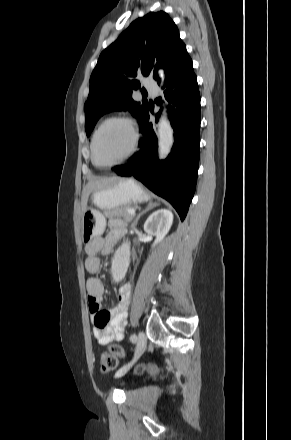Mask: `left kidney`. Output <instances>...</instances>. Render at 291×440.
<instances>
[{
  "mask_svg": "<svg viewBox=\"0 0 291 440\" xmlns=\"http://www.w3.org/2000/svg\"><path fill=\"white\" fill-rule=\"evenodd\" d=\"M173 223V213L168 209H159L153 212L144 223L147 234L156 237L153 245L160 243L169 232Z\"/></svg>",
  "mask_w": 291,
  "mask_h": 440,
  "instance_id": "1",
  "label": "left kidney"
}]
</instances>
